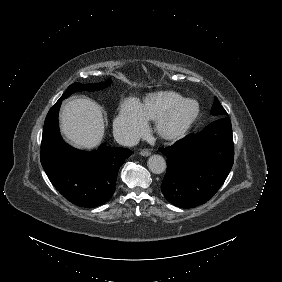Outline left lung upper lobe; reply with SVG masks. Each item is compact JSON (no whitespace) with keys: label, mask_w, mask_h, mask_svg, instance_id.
Listing matches in <instances>:
<instances>
[{"label":"left lung upper lobe","mask_w":282,"mask_h":282,"mask_svg":"<svg viewBox=\"0 0 282 282\" xmlns=\"http://www.w3.org/2000/svg\"><path fill=\"white\" fill-rule=\"evenodd\" d=\"M211 114L216 115L219 117H223L227 115V112L224 110V108L221 106L219 101L216 98V101L214 102L212 109H211Z\"/></svg>","instance_id":"1"}]
</instances>
